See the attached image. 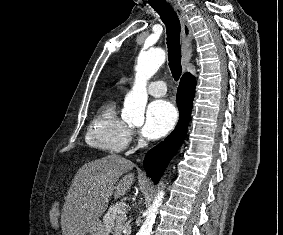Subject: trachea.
Here are the masks:
<instances>
[{"mask_svg":"<svg viewBox=\"0 0 283 235\" xmlns=\"http://www.w3.org/2000/svg\"><path fill=\"white\" fill-rule=\"evenodd\" d=\"M167 30L168 61L175 81L181 76L180 21L174 9L166 2L152 3Z\"/></svg>","mask_w":283,"mask_h":235,"instance_id":"obj_1","label":"trachea"}]
</instances>
